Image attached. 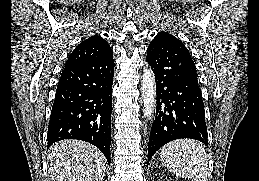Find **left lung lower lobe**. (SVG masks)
Returning <instances> with one entry per match:
<instances>
[{
  "label": "left lung lower lobe",
  "mask_w": 259,
  "mask_h": 181,
  "mask_svg": "<svg viewBox=\"0 0 259 181\" xmlns=\"http://www.w3.org/2000/svg\"><path fill=\"white\" fill-rule=\"evenodd\" d=\"M186 56V47L174 36L159 37L148 46L146 61L155 74L157 92L148 162L160 147L176 139L191 138L208 145L202 94L198 80L188 71Z\"/></svg>",
  "instance_id": "obj_1"
}]
</instances>
